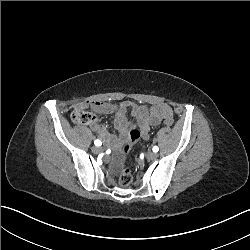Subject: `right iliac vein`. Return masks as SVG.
<instances>
[{"label":"right iliac vein","instance_id":"1","mask_svg":"<svg viewBox=\"0 0 250 250\" xmlns=\"http://www.w3.org/2000/svg\"><path fill=\"white\" fill-rule=\"evenodd\" d=\"M92 152L93 153H95V154H97V153H99V152H101L102 151V149L101 148H99V147H97V146H94V147H92Z\"/></svg>","mask_w":250,"mask_h":250}]
</instances>
